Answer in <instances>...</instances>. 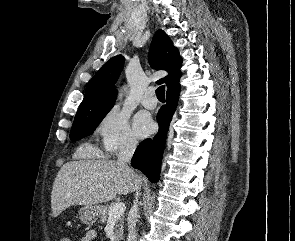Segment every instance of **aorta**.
<instances>
[{
  "label": "aorta",
  "mask_w": 295,
  "mask_h": 241,
  "mask_svg": "<svg viewBox=\"0 0 295 241\" xmlns=\"http://www.w3.org/2000/svg\"><path fill=\"white\" fill-rule=\"evenodd\" d=\"M126 89H127V87L124 86L123 91H125ZM121 95H122V92L119 93V97H121Z\"/></svg>",
  "instance_id": "1"
}]
</instances>
